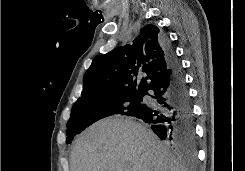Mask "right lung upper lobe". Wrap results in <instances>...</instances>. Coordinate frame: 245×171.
Segmentation results:
<instances>
[{
  "label": "right lung upper lobe",
  "mask_w": 245,
  "mask_h": 171,
  "mask_svg": "<svg viewBox=\"0 0 245 171\" xmlns=\"http://www.w3.org/2000/svg\"><path fill=\"white\" fill-rule=\"evenodd\" d=\"M169 73L159 29L146 25L132 45L117 47L93 59L84 75L83 91L77 102L115 95H142ZM138 75H145L139 84Z\"/></svg>",
  "instance_id": "right-lung-upper-lobe-1"
}]
</instances>
